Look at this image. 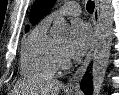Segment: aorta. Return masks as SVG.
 I'll return each mask as SVG.
<instances>
[{
    "label": "aorta",
    "mask_w": 119,
    "mask_h": 95,
    "mask_svg": "<svg viewBox=\"0 0 119 95\" xmlns=\"http://www.w3.org/2000/svg\"><path fill=\"white\" fill-rule=\"evenodd\" d=\"M99 7L100 14L92 65L93 95H100L102 92L113 36V7L111 0H99ZM52 30L57 36H67L69 25L64 18H59L54 22Z\"/></svg>",
    "instance_id": "obj_1"
}]
</instances>
